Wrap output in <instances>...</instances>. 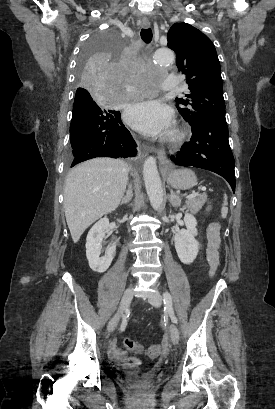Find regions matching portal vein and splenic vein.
Returning a JSON list of instances; mask_svg holds the SVG:
<instances>
[{
    "label": "portal vein and splenic vein",
    "mask_w": 275,
    "mask_h": 409,
    "mask_svg": "<svg viewBox=\"0 0 275 409\" xmlns=\"http://www.w3.org/2000/svg\"><path fill=\"white\" fill-rule=\"evenodd\" d=\"M201 190H206V186H202ZM195 194H198V192H195ZM194 194H188L186 198H193Z\"/></svg>",
    "instance_id": "portal-vein-and-splenic-vein-1"
}]
</instances>
